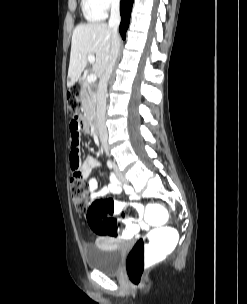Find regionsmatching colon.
<instances>
[{"label":"colon","instance_id":"colon-1","mask_svg":"<svg viewBox=\"0 0 247 304\" xmlns=\"http://www.w3.org/2000/svg\"><path fill=\"white\" fill-rule=\"evenodd\" d=\"M69 113L80 110V87L74 86L67 93ZM79 120V119H72ZM73 201L78 210L87 213L91 230L99 236L125 238L135 235L132 221L144 218V225H152L148 234L138 239L128 253L126 272L134 286H140L146 266L154 259H164V253H173L179 239L174 214H168L165 202L121 203L113 199H95L88 203L87 187L74 175L70 181ZM120 213L125 220L112 218ZM131 238V237H130Z\"/></svg>","mask_w":247,"mask_h":304}]
</instances>
